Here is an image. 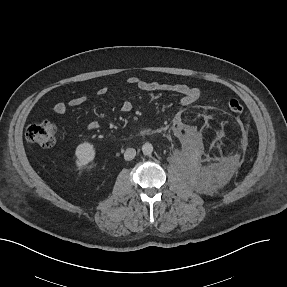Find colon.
Wrapping results in <instances>:
<instances>
[{
	"mask_svg": "<svg viewBox=\"0 0 287 287\" xmlns=\"http://www.w3.org/2000/svg\"><path fill=\"white\" fill-rule=\"evenodd\" d=\"M228 108L234 113H241L243 111V105L237 99H230L228 101ZM56 133V125L51 121L44 120L28 126L26 139L28 142L41 148H50L55 143Z\"/></svg>",
	"mask_w": 287,
	"mask_h": 287,
	"instance_id": "5ec220e1",
	"label": "colon"
}]
</instances>
